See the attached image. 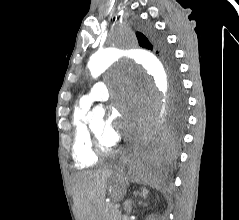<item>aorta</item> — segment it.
Masks as SVG:
<instances>
[{"instance_id": "1", "label": "aorta", "mask_w": 239, "mask_h": 220, "mask_svg": "<svg viewBox=\"0 0 239 220\" xmlns=\"http://www.w3.org/2000/svg\"><path fill=\"white\" fill-rule=\"evenodd\" d=\"M125 46L127 45H111L92 55L88 62V68L91 72V75L93 77H97L102 74L114 62L122 58L120 57V52H133V57H126V60L135 61V65H142L147 71V75L151 77L158 90L162 93L163 105L158 121L160 124L164 120V114H166L165 105L168 90V80L165 68L159 59L152 54V51H149V48H134V51H125ZM104 113V109L97 106L93 108L92 112H90L89 118H102Z\"/></svg>"}]
</instances>
